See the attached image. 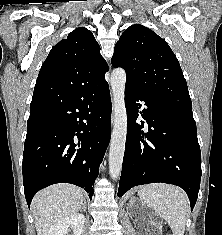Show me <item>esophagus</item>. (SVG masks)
<instances>
[{"label": "esophagus", "instance_id": "34e87169", "mask_svg": "<svg viewBox=\"0 0 222 235\" xmlns=\"http://www.w3.org/2000/svg\"><path fill=\"white\" fill-rule=\"evenodd\" d=\"M114 122V113H112V116H111V123L113 124Z\"/></svg>", "mask_w": 222, "mask_h": 235}]
</instances>
